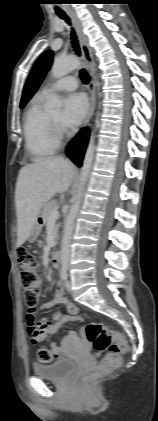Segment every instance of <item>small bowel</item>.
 <instances>
[{"instance_id": "small-bowel-1", "label": "small bowel", "mask_w": 158, "mask_h": 421, "mask_svg": "<svg viewBox=\"0 0 158 421\" xmlns=\"http://www.w3.org/2000/svg\"><path fill=\"white\" fill-rule=\"evenodd\" d=\"M53 305L63 306L66 314L62 315L58 313L54 316L53 320H43L42 322H38L32 313L27 316V329L30 339L34 344L47 340L57 332L62 324L78 319V308L65 297L64 286L61 282H58L55 286L54 298L45 303L44 307H51ZM76 341V334L70 331L64 337L62 344L52 342L50 347L56 357H61L64 353L65 346Z\"/></svg>"}]
</instances>
